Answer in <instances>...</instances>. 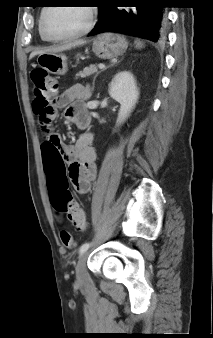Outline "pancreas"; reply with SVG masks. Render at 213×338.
<instances>
[{
    "label": "pancreas",
    "mask_w": 213,
    "mask_h": 338,
    "mask_svg": "<svg viewBox=\"0 0 213 338\" xmlns=\"http://www.w3.org/2000/svg\"><path fill=\"white\" fill-rule=\"evenodd\" d=\"M96 72H97V68L94 65H92L90 67H85L83 69V71H80L79 73L76 74V78L77 77L85 78V77L90 76L91 74H94Z\"/></svg>",
    "instance_id": "pancreas-1"
}]
</instances>
